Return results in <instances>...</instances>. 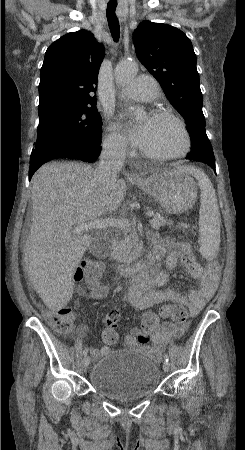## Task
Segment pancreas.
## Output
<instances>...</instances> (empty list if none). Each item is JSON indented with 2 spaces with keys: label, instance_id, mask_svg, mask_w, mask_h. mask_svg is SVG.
<instances>
[{
  "label": "pancreas",
  "instance_id": "1",
  "mask_svg": "<svg viewBox=\"0 0 245 450\" xmlns=\"http://www.w3.org/2000/svg\"><path fill=\"white\" fill-rule=\"evenodd\" d=\"M152 228L159 230L161 226L166 225L163 216L154 215L150 220ZM123 235L117 243L114 251V258L119 262H130L139 256L137 234L134 227H127L121 230Z\"/></svg>",
  "mask_w": 245,
  "mask_h": 450
}]
</instances>
